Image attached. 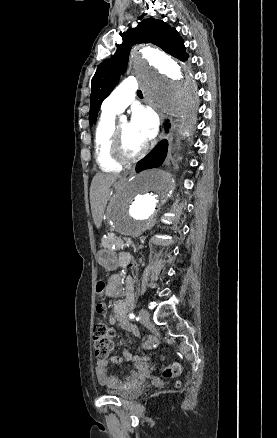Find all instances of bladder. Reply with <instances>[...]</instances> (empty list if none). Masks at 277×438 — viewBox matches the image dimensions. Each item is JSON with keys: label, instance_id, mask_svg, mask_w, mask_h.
Instances as JSON below:
<instances>
[{"label": "bladder", "instance_id": "31cf9c89", "mask_svg": "<svg viewBox=\"0 0 277 438\" xmlns=\"http://www.w3.org/2000/svg\"><path fill=\"white\" fill-rule=\"evenodd\" d=\"M140 383L139 381H136L129 385L126 389H119V390H107V393L114 394L120 399L124 401H130L133 398H136L138 396V393L140 391Z\"/></svg>", "mask_w": 277, "mask_h": 438}]
</instances>
